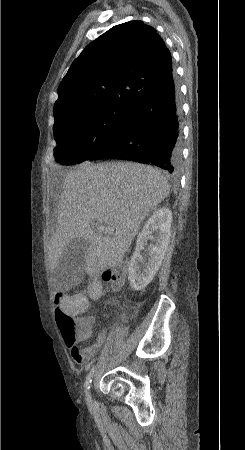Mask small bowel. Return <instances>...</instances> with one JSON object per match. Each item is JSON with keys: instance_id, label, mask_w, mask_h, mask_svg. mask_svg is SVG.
<instances>
[{"instance_id": "1", "label": "small bowel", "mask_w": 245, "mask_h": 450, "mask_svg": "<svg viewBox=\"0 0 245 450\" xmlns=\"http://www.w3.org/2000/svg\"><path fill=\"white\" fill-rule=\"evenodd\" d=\"M60 307L68 313L70 312L66 302L61 303ZM78 319L87 321L90 324L95 321V317L93 315L79 317ZM105 340L106 332L105 330H100L97 334L95 343L90 346H83L81 342L76 341L72 344H66L68 346L72 359L79 364H84L95 356L96 352L105 343Z\"/></svg>"}]
</instances>
